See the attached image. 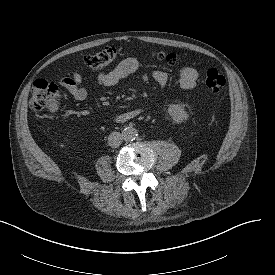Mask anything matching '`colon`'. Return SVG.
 <instances>
[{
	"label": "colon",
	"mask_w": 275,
	"mask_h": 275,
	"mask_svg": "<svg viewBox=\"0 0 275 275\" xmlns=\"http://www.w3.org/2000/svg\"><path fill=\"white\" fill-rule=\"evenodd\" d=\"M119 51L116 47L108 46L101 51L86 55L83 58V63L88 68L98 71L111 65L118 57ZM154 54L170 65L179 66L183 63L182 59L173 53ZM225 77L217 69H209L205 76V85L212 93L220 92L225 86ZM60 100V93L54 83L44 79H37L32 85L30 108L35 114H39L48 108L56 105Z\"/></svg>",
	"instance_id": "obj_1"
}]
</instances>
